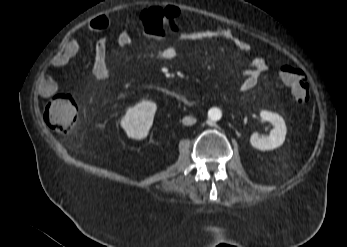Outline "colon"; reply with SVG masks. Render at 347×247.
I'll use <instances>...</instances> for the list:
<instances>
[{
  "instance_id": "1",
  "label": "colon",
  "mask_w": 347,
  "mask_h": 247,
  "mask_svg": "<svg viewBox=\"0 0 347 247\" xmlns=\"http://www.w3.org/2000/svg\"><path fill=\"white\" fill-rule=\"evenodd\" d=\"M180 18L179 11L173 7H151L140 12L139 20L145 33L162 37L168 30L175 29ZM281 82L290 90L294 100L305 103L310 96V85L305 73L291 65H282L279 69ZM44 121L52 129L62 134L75 131L78 119V106L71 95L58 93L52 95L44 108Z\"/></svg>"
}]
</instances>
